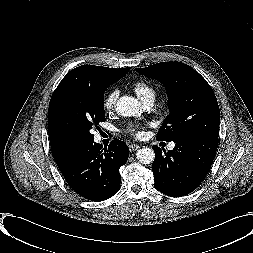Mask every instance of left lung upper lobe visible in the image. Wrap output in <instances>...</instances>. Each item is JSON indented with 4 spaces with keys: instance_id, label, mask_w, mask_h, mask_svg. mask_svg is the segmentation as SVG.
<instances>
[{
    "instance_id": "5c2ea615",
    "label": "left lung upper lobe",
    "mask_w": 253,
    "mask_h": 253,
    "mask_svg": "<svg viewBox=\"0 0 253 253\" xmlns=\"http://www.w3.org/2000/svg\"><path fill=\"white\" fill-rule=\"evenodd\" d=\"M140 74L165 85L170 114L156 139L177 141L195 136L218 138L220 111L207 81L192 67L181 62H161L136 68Z\"/></svg>"
}]
</instances>
